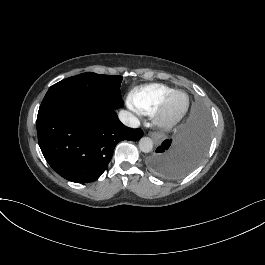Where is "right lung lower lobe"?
<instances>
[{
  "instance_id": "right-lung-lower-lobe-1",
  "label": "right lung lower lobe",
  "mask_w": 265,
  "mask_h": 265,
  "mask_svg": "<svg viewBox=\"0 0 265 265\" xmlns=\"http://www.w3.org/2000/svg\"><path fill=\"white\" fill-rule=\"evenodd\" d=\"M37 133L46 161L63 178L76 183L98 179L119 141H138L143 136L141 129L123 125L115 110L71 96L41 103Z\"/></svg>"
}]
</instances>
